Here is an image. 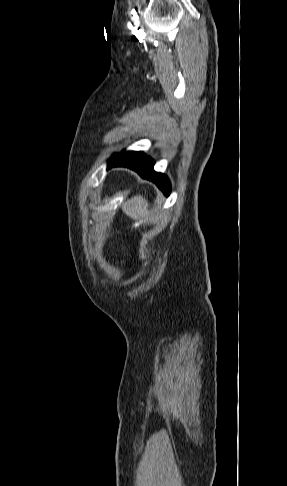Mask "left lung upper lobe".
Listing matches in <instances>:
<instances>
[{
  "mask_svg": "<svg viewBox=\"0 0 287 486\" xmlns=\"http://www.w3.org/2000/svg\"><path fill=\"white\" fill-rule=\"evenodd\" d=\"M128 153H130V152H122L120 154H115L112 157L122 156V155H125V154H128Z\"/></svg>",
  "mask_w": 287,
  "mask_h": 486,
  "instance_id": "5c2ea615",
  "label": "left lung upper lobe"
}]
</instances>
